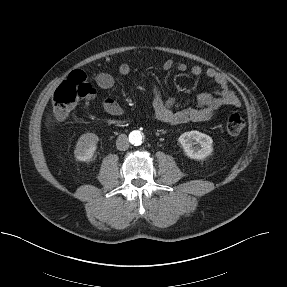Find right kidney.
Instances as JSON below:
<instances>
[{
	"label": "right kidney",
	"instance_id": "right-kidney-1",
	"mask_svg": "<svg viewBox=\"0 0 287 287\" xmlns=\"http://www.w3.org/2000/svg\"><path fill=\"white\" fill-rule=\"evenodd\" d=\"M99 138L94 133H86L80 136L75 146L74 155L79 161H90L97 149Z\"/></svg>",
	"mask_w": 287,
	"mask_h": 287
}]
</instances>
